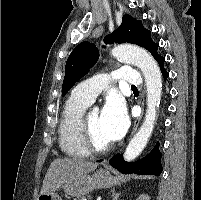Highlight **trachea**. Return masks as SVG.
I'll use <instances>...</instances> for the list:
<instances>
[{
    "label": "trachea",
    "instance_id": "3493384b",
    "mask_svg": "<svg viewBox=\"0 0 201 200\" xmlns=\"http://www.w3.org/2000/svg\"><path fill=\"white\" fill-rule=\"evenodd\" d=\"M131 88H132V89H137V87H136V86H134V85H132V86H131Z\"/></svg>",
    "mask_w": 201,
    "mask_h": 200
}]
</instances>
